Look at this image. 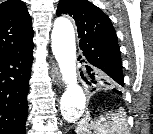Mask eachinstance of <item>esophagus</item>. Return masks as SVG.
<instances>
[{"label": "esophagus", "mask_w": 153, "mask_h": 134, "mask_svg": "<svg viewBox=\"0 0 153 134\" xmlns=\"http://www.w3.org/2000/svg\"><path fill=\"white\" fill-rule=\"evenodd\" d=\"M51 75L53 77V79L55 80V82L60 85L61 81H60V74H59V70L58 67L53 63L52 65V69H51Z\"/></svg>", "instance_id": "1"}]
</instances>
